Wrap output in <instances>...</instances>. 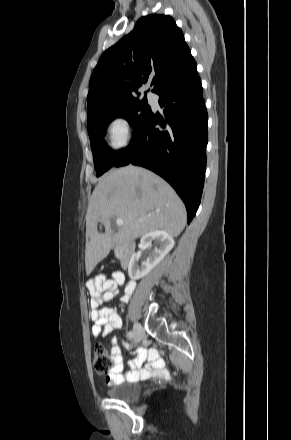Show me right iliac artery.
I'll use <instances>...</instances> for the list:
<instances>
[{
    "label": "right iliac artery",
    "mask_w": 291,
    "mask_h": 440,
    "mask_svg": "<svg viewBox=\"0 0 291 440\" xmlns=\"http://www.w3.org/2000/svg\"><path fill=\"white\" fill-rule=\"evenodd\" d=\"M133 336H134L133 332H132V331H129V332H128V337L131 339V338H133Z\"/></svg>",
    "instance_id": "1"
}]
</instances>
